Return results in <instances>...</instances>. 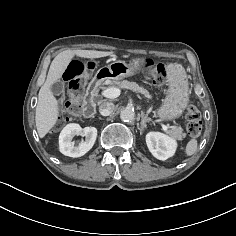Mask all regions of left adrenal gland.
Wrapping results in <instances>:
<instances>
[{
	"label": "left adrenal gland",
	"instance_id": "obj_1",
	"mask_svg": "<svg viewBox=\"0 0 236 236\" xmlns=\"http://www.w3.org/2000/svg\"><path fill=\"white\" fill-rule=\"evenodd\" d=\"M141 130L146 128V123L149 122V119L145 116L144 112L141 111Z\"/></svg>",
	"mask_w": 236,
	"mask_h": 236
}]
</instances>
